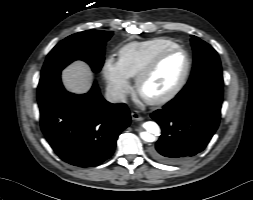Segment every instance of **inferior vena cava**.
<instances>
[{
    "instance_id": "1",
    "label": "inferior vena cava",
    "mask_w": 253,
    "mask_h": 200,
    "mask_svg": "<svg viewBox=\"0 0 253 200\" xmlns=\"http://www.w3.org/2000/svg\"><path fill=\"white\" fill-rule=\"evenodd\" d=\"M105 99L111 103H121L126 101V95L120 90L109 88L106 90Z\"/></svg>"
}]
</instances>
